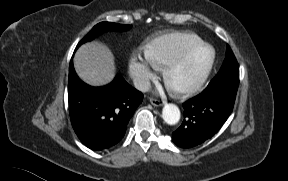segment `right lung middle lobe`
Listing matches in <instances>:
<instances>
[{
	"instance_id": "1",
	"label": "right lung middle lobe",
	"mask_w": 288,
	"mask_h": 181,
	"mask_svg": "<svg viewBox=\"0 0 288 181\" xmlns=\"http://www.w3.org/2000/svg\"><path fill=\"white\" fill-rule=\"evenodd\" d=\"M130 25H122V24H116L111 22H101L97 25H95L92 30L79 42L76 48H78L81 44L91 41L94 39L97 35H99L102 32L114 30V31H125L130 29Z\"/></svg>"
}]
</instances>
